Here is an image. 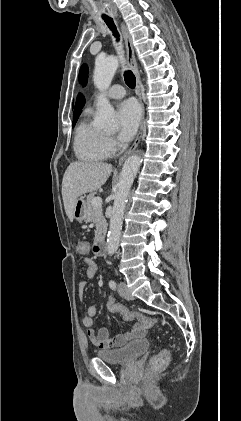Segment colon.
<instances>
[{
    "mask_svg": "<svg viewBox=\"0 0 241 421\" xmlns=\"http://www.w3.org/2000/svg\"><path fill=\"white\" fill-rule=\"evenodd\" d=\"M76 250L78 254L85 256L90 251V245L85 240H79L76 243ZM107 309L111 313L120 314L123 317V319L127 321H137L148 327H151L157 323L156 318H151L140 312L132 311L126 308L124 305L117 302L111 296L108 297V300H107ZM169 358H170L169 351L166 349H162L159 353H157L154 357H152L150 361V370L152 372H157V371L162 370L167 365Z\"/></svg>",
    "mask_w": 241,
    "mask_h": 421,
    "instance_id": "obj_1",
    "label": "colon"
}]
</instances>
